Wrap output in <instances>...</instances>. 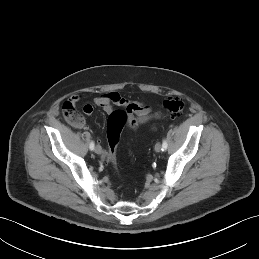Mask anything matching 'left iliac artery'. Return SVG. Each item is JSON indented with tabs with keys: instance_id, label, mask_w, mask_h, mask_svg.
<instances>
[{
	"instance_id": "1",
	"label": "left iliac artery",
	"mask_w": 259,
	"mask_h": 259,
	"mask_svg": "<svg viewBox=\"0 0 259 259\" xmlns=\"http://www.w3.org/2000/svg\"><path fill=\"white\" fill-rule=\"evenodd\" d=\"M167 141L164 139L163 142H162V151H165L167 149Z\"/></svg>"
}]
</instances>
